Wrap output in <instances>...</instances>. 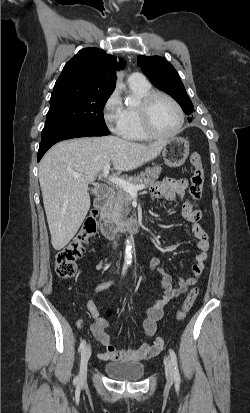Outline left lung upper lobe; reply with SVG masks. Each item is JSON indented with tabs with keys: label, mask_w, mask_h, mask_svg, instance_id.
I'll return each mask as SVG.
<instances>
[{
	"label": "left lung upper lobe",
	"mask_w": 250,
	"mask_h": 413,
	"mask_svg": "<svg viewBox=\"0 0 250 413\" xmlns=\"http://www.w3.org/2000/svg\"><path fill=\"white\" fill-rule=\"evenodd\" d=\"M137 63L149 80L157 88L172 96L189 116L188 120L192 121L194 107L174 67L165 58L159 56L139 55Z\"/></svg>",
	"instance_id": "left-lung-upper-lobe-1"
}]
</instances>
